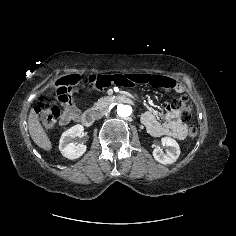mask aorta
I'll list each match as a JSON object with an SVG mask.
<instances>
[{
    "label": "aorta",
    "instance_id": "1",
    "mask_svg": "<svg viewBox=\"0 0 236 236\" xmlns=\"http://www.w3.org/2000/svg\"><path fill=\"white\" fill-rule=\"evenodd\" d=\"M133 113V109L130 105H119L117 107V115L121 118H128Z\"/></svg>",
    "mask_w": 236,
    "mask_h": 236
}]
</instances>
